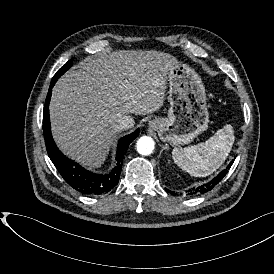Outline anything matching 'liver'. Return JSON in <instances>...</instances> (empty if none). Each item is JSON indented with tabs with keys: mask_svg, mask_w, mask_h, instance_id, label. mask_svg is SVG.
Segmentation results:
<instances>
[{
	"mask_svg": "<svg viewBox=\"0 0 274 274\" xmlns=\"http://www.w3.org/2000/svg\"><path fill=\"white\" fill-rule=\"evenodd\" d=\"M176 58L155 50H119L87 56L52 89L53 138L60 150L89 170L106 160L117 119L159 110Z\"/></svg>",
	"mask_w": 274,
	"mask_h": 274,
	"instance_id": "1",
	"label": "liver"
}]
</instances>
